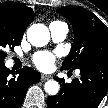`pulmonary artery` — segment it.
<instances>
[{"instance_id":"1","label":"pulmonary artery","mask_w":108,"mask_h":108,"mask_svg":"<svg viewBox=\"0 0 108 108\" xmlns=\"http://www.w3.org/2000/svg\"><path fill=\"white\" fill-rule=\"evenodd\" d=\"M52 40L56 43L62 42L68 33V26L64 22L55 21L49 25ZM79 73V72H77Z\"/></svg>"}]
</instances>
